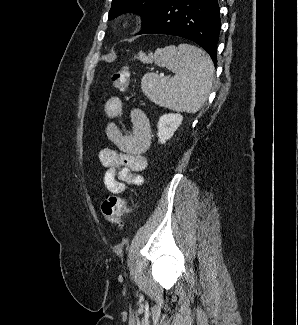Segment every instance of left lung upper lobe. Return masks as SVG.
Returning <instances> with one entry per match:
<instances>
[{
  "label": "left lung upper lobe",
  "instance_id": "left-lung-upper-lobe-1",
  "mask_svg": "<svg viewBox=\"0 0 298 325\" xmlns=\"http://www.w3.org/2000/svg\"><path fill=\"white\" fill-rule=\"evenodd\" d=\"M167 0H113L109 11V19L125 12H135L141 15L142 25L149 22Z\"/></svg>",
  "mask_w": 298,
  "mask_h": 325
}]
</instances>
